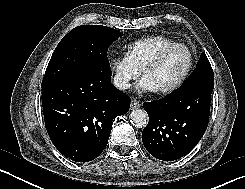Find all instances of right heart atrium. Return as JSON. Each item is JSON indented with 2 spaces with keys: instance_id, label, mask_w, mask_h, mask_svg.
<instances>
[{
  "instance_id": "1",
  "label": "right heart atrium",
  "mask_w": 245,
  "mask_h": 189,
  "mask_svg": "<svg viewBox=\"0 0 245 189\" xmlns=\"http://www.w3.org/2000/svg\"><path fill=\"white\" fill-rule=\"evenodd\" d=\"M109 68L114 85L123 91L128 90L140 74L126 56L112 59Z\"/></svg>"
}]
</instances>
